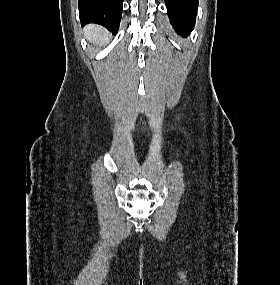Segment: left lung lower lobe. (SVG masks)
<instances>
[{
  "label": "left lung lower lobe",
  "mask_w": 280,
  "mask_h": 285,
  "mask_svg": "<svg viewBox=\"0 0 280 285\" xmlns=\"http://www.w3.org/2000/svg\"><path fill=\"white\" fill-rule=\"evenodd\" d=\"M165 4L177 33L188 35L195 25L198 0H165Z\"/></svg>",
  "instance_id": "0a47b994"
}]
</instances>
